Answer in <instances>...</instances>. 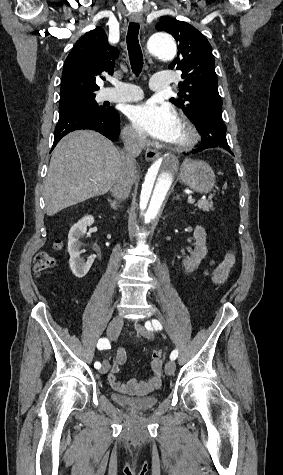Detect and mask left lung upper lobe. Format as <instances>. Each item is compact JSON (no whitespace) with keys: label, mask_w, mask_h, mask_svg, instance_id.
<instances>
[{"label":"left lung upper lobe","mask_w":283,"mask_h":475,"mask_svg":"<svg viewBox=\"0 0 283 475\" xmlns=\"http://www.w3.org/2000/svg\"><path fill=\"white\" fill-rule=\"evenodd\" d=\"M156 30L170 33L179 43L178 56L169 68L182 71L183 81L179 82L178 93L181 98L170 101L182 108L193 121L204 107H221L215 62L208 40L192 25L172 17L161 18Z\"/></svg>","instance_id":"left-lung-upper-lobe-1"}]
</instances>
